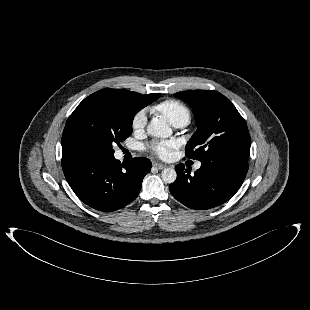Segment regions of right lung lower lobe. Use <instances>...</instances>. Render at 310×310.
Here are the masks:
<instances>
[{
    "label": "right lung lower lobe",
    "instance_id": "obj_1",
    "mask_svg": "<svg viewBox=\"0 0 310 310\" xmlns=\"http://www.w3.org/2000/svg\"><path fill=\"white\" fill-rule=\"evenodd\" d=\"M66 180L77 197L86 205L110 212L132 202L150 172L151 162L136 157L120 163L110 152H82L62 156Z\"/></svg>",
    "mask_w": 310,
    "mask_h": 310
}]
</instances>
